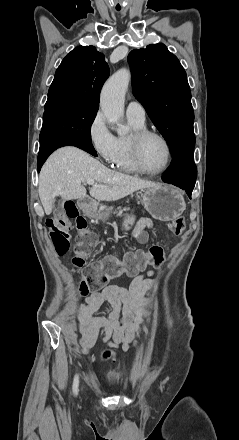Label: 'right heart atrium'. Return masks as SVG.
<instances>
[{
	"mask_svg": "<svg viewBox=\"0 0 239 440\" xmlns=\"http://www.w3.org/2000/svg\"><path fill=\"white\" fill-rule=\"evenodd\" d=\"M87 137L91 147L103 161L114 162L119 150V141L108 128L101 110H98L90 120Z\"/></svg>",
	"mask_w": 239,
	"mask_h": 440,
	"instance_id": "1",
	"label": "right heart atrium"
}]
</instances>
